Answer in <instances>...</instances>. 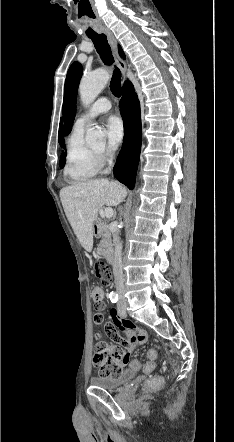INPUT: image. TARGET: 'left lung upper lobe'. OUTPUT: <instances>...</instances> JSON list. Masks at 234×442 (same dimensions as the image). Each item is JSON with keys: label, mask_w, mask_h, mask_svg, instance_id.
Masks as SVG:
<instances>
[{"label": "left lung upper lobe", "mask_w": 234, "mask_h": 442, "mask_svg": "<svg viewBox=\"0 0 234 442\" xmlns=\"http://www.w3.org/2000/svg\"><path fill=\"white\" fill-rule=\"evenodd\" d=\"M82 74L81 64L74 62L66 76L63 100L64 133L66 135L70 132L75 118L77 90Z\"/></svg>", "instance_id": "1"}]
</instances>
